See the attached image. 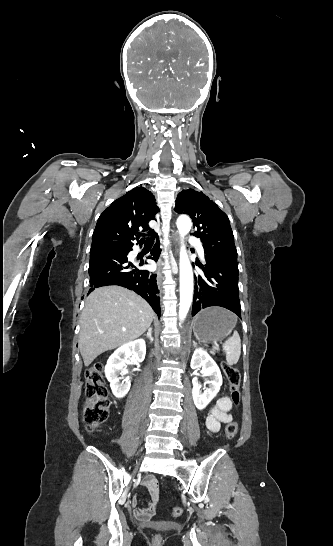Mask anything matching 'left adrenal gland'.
Segmentation results:
<instances>
[{
    "instance_id": "a2214340",
    "label": "left adrenal gland",
    "mask_w": 333,
    "mask_h": 546,
    "mask_svg": "<svg viewBox=\"0 0 333 546\" xmlns=\"http://www.w3.org/2000/svg\"><path fill=\"white\" fill-rule=\"evenodd\" d=\"M196 345H197L196 342L193 341V346L196 347Z\"/></svg>"
}]
</instances>
